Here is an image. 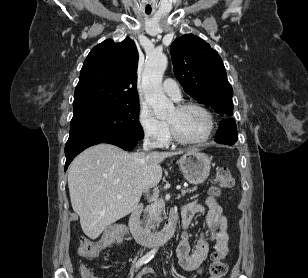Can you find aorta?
<instances>
[{"label": "aorta", "mask_w": 308, "mask_h": 278, "mask_svg": "<svg viewBox=\"0 0 308 278\" xmlns=\"http://www.w3.org/2000/svg\"><path fill=\"white\" fill-rule=\"evenodd\" d=\"M168 60L163 53H155L147 57L142 76V85L146 102L152 107L158 118H163L174 108L161 89L163 74Z\"/></svg>", "instance_id": "aorta-1"}]
</instances>
